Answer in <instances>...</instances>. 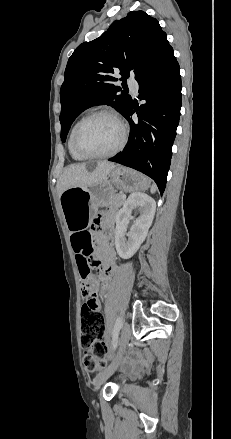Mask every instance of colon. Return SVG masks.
I'll return each instance as SVG.
<instances>
[{
	"label": "colon",
	"mask_w": 231,
	"mask_h": 439,
	"mask_svg": "<svg viewBox=\"0 0 231 439\" xmlns=\"http://www.w3.org/2000/svg\"><path fill=\"white\" fill-rule=\"evenodd\" d=\"M93 264L95 262L90 261L81 271L82 277H88L89 268ZM94 287V281L84 284V288L89 291H93ZM104 323V316L100 312L90 308L87 304L82 307L80 338L83 348L89 350L86 351L84 359L85 368L89 371L101 370L106 366L107 346L100 340L104 333Z\"/></svg>",
	"instance_id": "5ec220e1"
}]
</instances>
